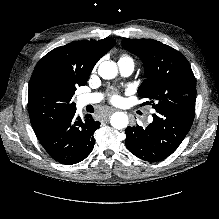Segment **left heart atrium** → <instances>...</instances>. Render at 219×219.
<instances>
[{
  "label": "left heart atrium",
  "mask_w": 219,
  "mask_h": 219,
  "mask_svg": "<svg viewBox=\"0 0 219 219\" xmlns=\"http://www.w3.org/2000/svg\"><path fill=\"white\" fill-rule=\"evenodd\" d=\"M121 100L120 95L118 94V92L116 90H112L110 92V101L112 103H118Z\"/></svg>",
  "instance_id": "1"
}]
</instances>
